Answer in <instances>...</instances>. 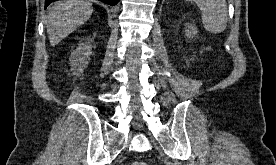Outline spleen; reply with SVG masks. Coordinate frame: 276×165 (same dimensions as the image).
I'll list each match as a JSON object with an SVG mask.
<instances>
[{
  "label": "spleen",
  "instance_id": "3e777b00",
  "mask_svg": "<svg viewBox=\"0 0 276 165\" xmlns=\"http://www.w3.org/2000/svg\"><path fill=\"white\" fill-rule=\"evenodd\" d=\"M188 1V0H186ZM202 11L204 28L211 33H221L226 29L228 10L226 0H193Z\"/></svg>",
  "mask_w": 276,
  "mask_h": 165
}]
</instances>
